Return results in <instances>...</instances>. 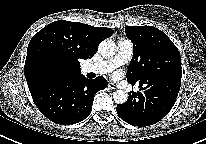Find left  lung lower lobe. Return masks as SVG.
Wrapping results in <instances>:
<instances>
[{"label": "left lung lower lobe", "instance_id": "left-lung-lower-lobe-1", "mask_svg": "<svg viewBox=\"0 0 206 144\" xmlns=\"http://www.w3.org/2000/svg\"><path fill=\"white\" fill-rule=\"evenodd\" d=\"M134 85V84H133ZM140 91L129 93L128 101L118 105L119 117L133 126H149L160 121L172 109L180 88L163 86L146 88L139 83Z\"/></svg>", "mask_w": 206, "mask_h": 144}]
</instances>
